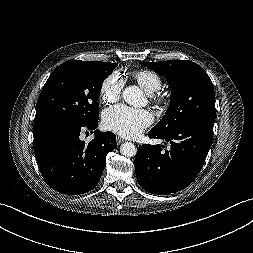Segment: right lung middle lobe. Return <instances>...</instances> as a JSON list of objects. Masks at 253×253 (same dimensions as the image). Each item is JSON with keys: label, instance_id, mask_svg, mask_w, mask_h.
Returning a JSON list of instances; mask_svg holds the SVG:
<instances>
[{"label": "right lung middle lobe", "instance_id": "1", "mask_svg": "<svg viewBox=\"0 0 253 253\" xmlns=\"http://www.w3.org/2000/svg\"><path fill=\"white\" fill-rule=\"evenodd\" d=\"M116 67L114 63L80 60L59 65L42 89L34 123L64 119L87 124L97 120L102 83Z\"/></svg>", "mask_w": 253, "mask_h": 253}]
</instances>
